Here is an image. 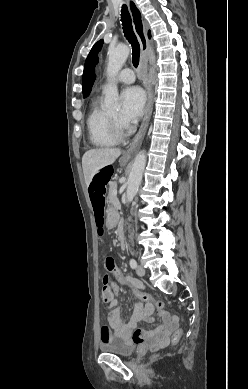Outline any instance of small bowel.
<instances>
[{
    "mask_svg": "<svg viewBox=\"0 0 248 389\" xmlns=\"http://www.w3.org/2000/svg\"><path fill=\"white\" fill-rule=\"evenodd\" d=\"M125 281H131L136 286V289L143 287L140 280L129 275H125ZM110 293L111 299L107 302L109 327L103 326L101 328V342H105L111 336H117L124 340L141 344L149 349L162 347L168 342L169 336L177 326V321L173 316L168 312L160 311L158 315L162 319V323L154 330H141L137 328L138 323L141 321L152 322L154 309L150 308L148 304L136 303L129 320L125 321L121 309L117 307L118 298L112 294L111 288Z\"/></svg>",
    "mask_w": 248,
    "mask_h": 389,
    "instance_id": "1",
    "label": "small bowel"
}]
</instances>
